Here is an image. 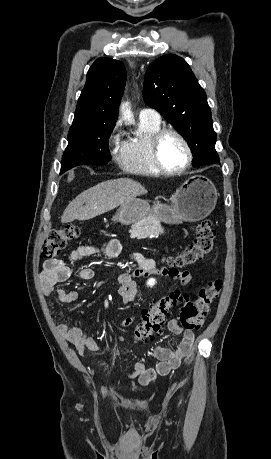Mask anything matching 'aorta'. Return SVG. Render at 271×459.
Segmentation results:
<instances>
[{
	"mask_svg": "<svg viewBox=\"0 0 271 459\" xmlns=\"http://www.w3.org/2000/svg\"><path fill=\"white\" fill-rule=\"evenodd\" d=\"M153 282H154V280H151V281H150V283H153Z\"/></svg>",
	"mask_w": 271,
	"mask_h": 459,
	"instance_id": "762f6f07",
	"label": "aorta"
}]
</instances>
